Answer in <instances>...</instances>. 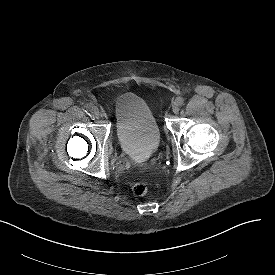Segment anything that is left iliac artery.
<instances>
[{
    "mask_svg": "<svg viewBox=\"0 0 275 275\" xmlns=\"http://www.w3.org/2000/svg\"><path fill=\"white\" fill-rule=\"evenodd\" d=\"M176 102L179 106H182L184 104V99L182 97H177Z\"/></svg>",
    "mask_w": 275,
    "mask_h": 275,
    "instance_id": "obj_1",
    "label": "left iliac artery"
}]
</instances>
